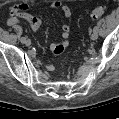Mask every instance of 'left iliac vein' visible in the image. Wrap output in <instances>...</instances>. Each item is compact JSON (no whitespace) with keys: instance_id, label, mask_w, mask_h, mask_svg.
<instances>
[{"instance_id":"obj_1","label":"left iliac vein","mask_w":119,"mask_h":119,"mask_svg":"<svg viewBox=\"0 0 119 119\" xmlns=\"http://www.w3.org/2000/svg\"><path fill=\"white\" fill-rule=\"evenodd\" d=\"M90 37H91L92 40H96L98 38V32L97 31H93L91 33V36Z\"/></svg>"}]
</instances>
